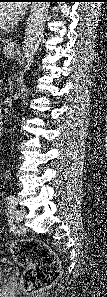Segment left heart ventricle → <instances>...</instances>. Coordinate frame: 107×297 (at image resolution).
<instances>
[{
  "mask_svg": "<svg viewBox=\"0 0 107 297\" xmlns=\"http://www.w3.org/2000/svg\"><path fill=\"white\" fill-rule=\"evenodd\" d=\"M8 23H10V19L6 11V6L1 5L0 6V24H8Z\"/></svg>",
  "mask_w": 107,
  "mask_h": 297,
  "instance_id": "1",
  "label": "left heart ventricle"
}]
</instances>
